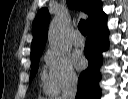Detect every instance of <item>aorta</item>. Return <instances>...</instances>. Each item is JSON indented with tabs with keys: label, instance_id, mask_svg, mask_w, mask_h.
I'll list each match as a JSON object with an SVG mask.
<instances>
[{
	"label": "aorta",
	"instance_id": "aorta-1",
	"mask_svg": "<svg viewBox=\"0 0 128 99\" xmlns=\"http://www.w3.org/2000/svg\"><path fill=\"white\" fill-rule=\"evenodd\" d=\"M48 41L50 47L56 52L64 53L67 51L68 45L64 25L60 16L55 17L50 24Z\"/></svg>",
	"mask_w": 128,
	"mask_h": 99
}]
</instances>
